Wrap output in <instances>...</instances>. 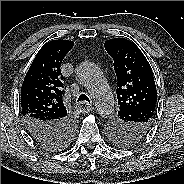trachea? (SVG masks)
I'll return each instance as SVG.
<instances>
[{"label":"trachea","mask_w":184,"mask_h":184,"mask_svg":"<svg viewBox=\"0 0 184 184\" xmlns=\"http://www.w3.org/2000/svg\"><path fill=\"white\" fill-rule=\"evenodd\" d=\"M77 102H89L90 103V100L88 98L87 95L85 94H81L77 100Z\"/></svg>","instance_id":"trachea-1"}]
</instances>
